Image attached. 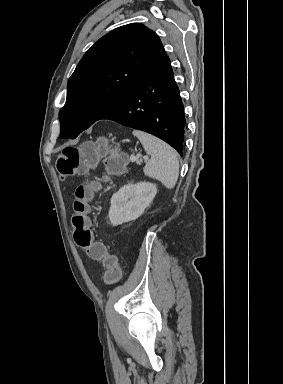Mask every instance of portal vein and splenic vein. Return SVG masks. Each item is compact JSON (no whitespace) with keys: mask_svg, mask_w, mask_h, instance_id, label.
<instances>
[{"mask_svg":"<svg viewBox=\"0 0 283 384\" xmlns=\"http://www.w3.org/2000/svg\"><path fill=\"white\" fill-rule=\"evenodd\" d=\"M143 160H148V156H144ZM131 162H137L140 166V162H138V158H135V156H132Z\"/></svg>","mask_w":283,"mask_h":384,"instance_id":"1","label":"portal vein and splenic vein"}]
</instances>
